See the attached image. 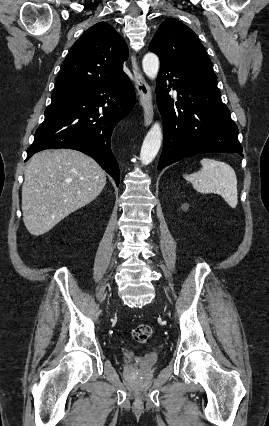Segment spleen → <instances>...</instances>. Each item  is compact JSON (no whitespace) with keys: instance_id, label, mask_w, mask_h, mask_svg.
Here are the masks:
<instances>
[{"instance_id":"obj_1","label":"spleen","mask_w":269,"mask_h":426,"mask_svg":"<svg viewBox=\"0 0 269 426\" xmlns=\"http://www.w3.org/2000/svg\"><path fill=\"white\" fill-rule=\"evenodd\" d=\"M202 168L184 178L192 183L195 190L202 194L221 195L231 208L238 203L237 178L234 169L227 163L204 158Z\"/></svg>"}]
</instances>
